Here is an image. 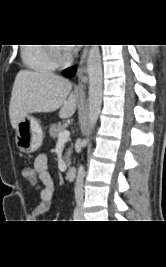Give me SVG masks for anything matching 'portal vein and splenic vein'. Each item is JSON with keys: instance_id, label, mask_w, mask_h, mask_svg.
<instances>
[{"instance_id": "18ae733b", "label": "portal vein and splenic vein", "mask_w": 166, "mask_h": 267, "mask_svg": "<svg viewBox=\"0 0 166 267\" xmlns=\"http://www.w3.org/2000/svg\"><path fill=\"white\" fill-rule=\"evenodd\" d=\"M70 136V132L65 130L63 132H61L58 136V143H64L69 139Z\"/></svg>"}]
</instances>
